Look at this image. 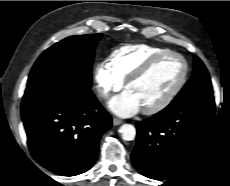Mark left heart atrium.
Masks as SVG:
<instances>
[{
    "label": "left heart atrium",
    "instance_id": "39dd6f15",
    "mask_svg": "<svg viewBox=\"0 0 230 186\" xmlns=\"http://www.w3.org/2000/svg\"><path fill=\"white\" fill-rule=\"evenodd\" d=\"M108 107L112 112L122 117L134 115L142 108L136 96L129 90L112 98Z\"/></svg>",
    "mask_w": 230,
    "mask_h": 186
}]
</instances>
